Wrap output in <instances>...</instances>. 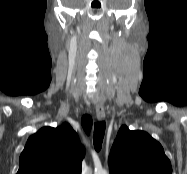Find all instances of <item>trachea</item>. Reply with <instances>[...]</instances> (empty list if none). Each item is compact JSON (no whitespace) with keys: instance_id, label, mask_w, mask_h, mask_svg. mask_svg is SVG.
I'll list each match as a JSON object with an SVG mask.
<instances>
[{"instance_id":"trachea-1","label":"trachea","mask_w":187,"mask_h":174,"mask_svg":"<svg viewBox=\"0 0 187 174\" xmlns=\"http://www.w3.org/2000/svg\"><path fill=\"white\" fill-rule=\"evenodd\" d=\"M105 133V122L95 123L93 144L96 151H100Z\"/></svg>"}]
</instances>
